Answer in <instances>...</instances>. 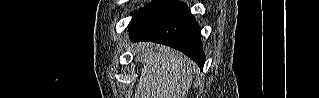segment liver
Instances as JSON below:
<instances>
[{
	"instance_id": "liver-1",
	"label": "liver",
	"mask_w": 319,
	"mask_h": 98,
	"mask_svg": "<svg viewBox=\"0 0 319 98\" xmlns=\"http://www.w3.org/2000/svg\"><path fill=\"white\" fill-rule=\"evenodd\" d=\"M136 60L143 67L135 98H185L195 64L177 50L153 43L136 44Z\"/></svg>"
}]
</instances>
